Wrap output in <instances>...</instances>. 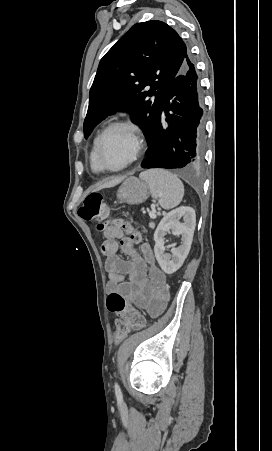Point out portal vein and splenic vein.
Masks as SVG:
<instances>
[{
    "mask_svg": "<svg viewBox=\"0 0 272 451\" xmlns=\"http://www.w3.org/2000/svg\"><path fill=\"white\" fill-rule=\"evenodd\" d=\"M149 216H150V218H157L154 210H152V212H149Z\"/></svg>",
    "mask_w": 272,
    "mask_h": 451,
    "instance_id": "portal-vein-and-splenic-vein-1",
    "label": "portal vein and splenic vein"
}]
</instances>
